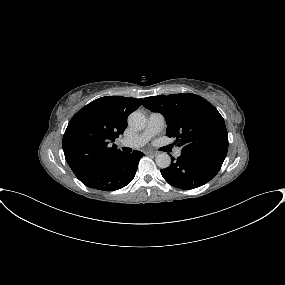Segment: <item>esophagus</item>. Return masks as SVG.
I'll list each match as a JSON object with an SVG mask.
<instances>
[{
    "instance_id": "1",
    "label": "esophagus",
    "mask_w": 285,
    "mask_h": 285,
    "mask_svg": "<svg viewBox=\"0 0 285 285\" xmlns=\"http://www.w3.org/2000/svg\"><path fill=\"white\" fill-rule=\"evenodd\" d=\"M146 154L155 156V155H157V152H155V151H148Z\"/></svg>"
}]
</instances>
